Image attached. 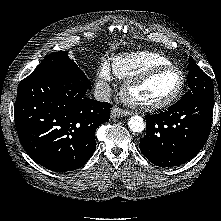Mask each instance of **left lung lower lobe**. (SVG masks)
<instances>
[{"label": "left lung lower lobe", "mask_w": 221, "mask_h": 221, "mask_svg": "<svg viewBox=\"0 0 221 221\" xmlns=\"http://www.w3.org/2000/svg\"><path fill=\"white\" fill-rule=\"evenodd\" d=\"M214 98L191 95L160 114L147 115L140 150L155 165L179 166L204 146L211 128Z\"/></svg>", "instance_id": "0a47b994"}]
</instances>
